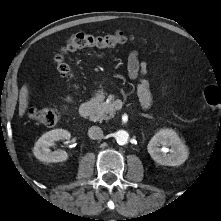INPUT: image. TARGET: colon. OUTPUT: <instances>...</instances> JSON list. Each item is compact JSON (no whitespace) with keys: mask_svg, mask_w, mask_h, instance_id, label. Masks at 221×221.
<instances>
[{"mask_svg":"<svg viewBox=\"0 0 221 221\" xmlns=\"http://www.w3.org/2000/svg\"><path fill=\"white\" fill-rule=\"evenodd\" d=\"M128 37L123 31H116L112 34L101 36L87 33H77L69 37L60 52L55 56V62L59 74L64 78H71L72 70L69 64L64 60V54L84 48L109 49L125 43ZM203 97L207 105L214 109L221 105V93L212 86H207L203 90ZM29 116L34 121L44 126L56 125L61 117L60 110L56 108H38L33 107L29 111Z\"/></svg>","mask_w":221,"mask_h":221,"instance_id":"1","label":"colon"}]
</instances>
